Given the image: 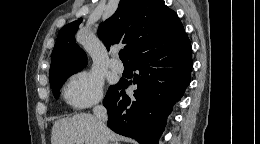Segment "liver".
<instances>
[{
	"label": "liver",
	"instance_id": "liver-1",
	"mask_svg": "<svg viewBox=\"0 0 260 144\" xmlns=\"http://www.w3.org/2000/svg\"><path fill=\"white\" fill-rule=\"evenodd\" d=\"M118 140L119 136L108 127L99 128L95 116L84 113L57 120L51 134V144H118Z\"/></svg>",
	"mask_w": 260,
	"mask_h": 144
}]
</instances>
